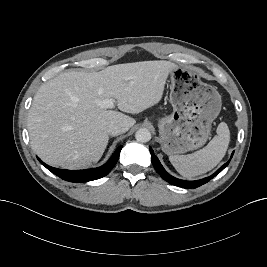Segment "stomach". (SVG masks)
<instances>
[{
  "instance_id": "1",
  "label": "stomach",
  "mask_w": 267,
  "mask_h": 267,
  "mask_svg": "<svg viewBox=\"0 0 267 267\" xmlns=\"http://www.w3.org/2000/svg\"><path fill=\"white\" fill-rule=\"evenodd\" d=\"M169 77L173 112L158 121L159 141L167 155H178L206 143L222 102L217 89L194 69L174 65Z\"/></svg>"
}]
</instances>
